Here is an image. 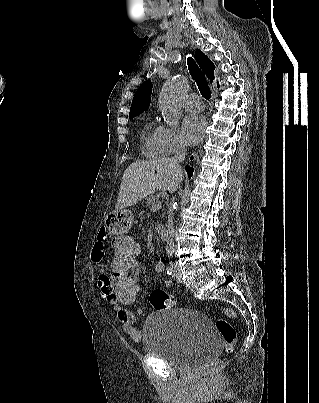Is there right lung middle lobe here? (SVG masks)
I'll return each instance as SVG.
<instances>
[{
  "mask_svg": "<svg viewBox=\"0 0 319 403\" xmlns=\"http://www.w3.org/2000/svg\"><path fill=\"white\" fill-rule=\"evenodd\" d=\"M133 117H135V116H130L129 118H133Z\"/></svg>",
  "mask_w": 319,
  "mask_h": 403,
  "instance_id": "obj_1",
  "label": "right lung middle lobe"
}]
</instances>
